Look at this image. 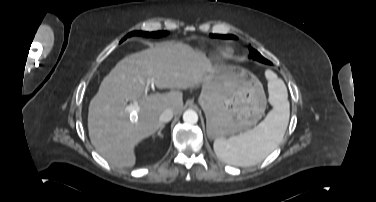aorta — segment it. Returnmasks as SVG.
Instances as JSON below:
<instances>
[{"mask_svg": "<svg viewBox=\"0 0 376 202\" xmlns=\"http://www.w3.org/2000/svg\"><path fill=\"white\" fill-rule=\"evenodd\" d=\"M183 121L189 125L196 124L198 122V114L194 110L188 109L183 113Z\"/></svg>", "mask_w": 376, "mask_h": 202, "instance_id": "aorta-1", "label": "aorta"}]
</instances>
